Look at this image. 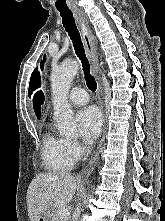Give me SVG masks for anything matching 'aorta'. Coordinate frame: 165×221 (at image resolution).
<instances>
[{"mask_svg":"<svg viewBox=\"0 0 165 221\" xmlns=\"http://www.w3.org/2000/svg\"><path fill=\"white\" fill-rule=\"evenodd\" d=\"M77 71V61L69 60L53 69L51 73L54 119L58 131L64 135H75L77 132L73 111L67 101L70 85Z\"/></svg>","mask_w":165,"mask_h":221,"instance_id":"obj_1","label":"aorta"}]
</instances>
